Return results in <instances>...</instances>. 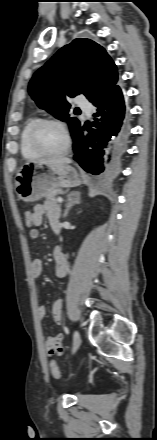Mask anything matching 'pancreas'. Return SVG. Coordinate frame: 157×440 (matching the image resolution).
<instances>
[{
    "instance_id": "cf45deb5",
    "label": "pancreas",
    "mask_w": 157,
    "mask_h": 440,
    "mask_svg": "<svg viewBox=\"0 0 157 440\" xmlns=\"http://www.w3.org/2000/svg\"><path fill=\"white\" fill-rule=\"evenodd\" d=\"M60 192H61L60 190H55L53 193L47 195L46 199L52 203L57 204L58 201H57L56 195Z\"/></svg>"
}]
</instances>
